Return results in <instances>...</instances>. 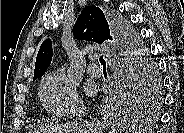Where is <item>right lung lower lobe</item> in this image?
Returning a JSON list of instances; mask_svg holds the SVG:
<instances>
[{"mask_svg":"<svg viewBox=\"0 0 184 133\" xmlns=\"http://www.w3.org/2000/svg\"><path fill=\"white\" fill-rule=\"evenodd\" d=\"M113 32L116 35L117 38V44L119 47V55L121 58V61L123 62L124 66H127L129 68V56L130 52L134 49V44H132V39L128 34V30L123 25V22L121 18H119L116 15H113L109 17ZM146 56V53H144ZM126 77H124L123 84L126 83Z\"/></svg>","mask_w":184,"mask_h":133,"instance_id":"obj_1","label":"right lung lower lobe"}]
</instances>
